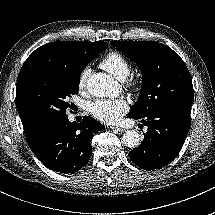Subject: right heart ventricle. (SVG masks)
Here are the masks:
<instances>
[{
  "mask_svg": "<svg viewBox=\"0 0 215 215\" xmlns=\"http://www.w3.org/2000/svg\"><path fill=\"white\" fill-rule=\"evenodd\" d=\"M100 65L119 80L125 79L130 72L128 60L122 54L115 51L106 54Z\"/></svg>",
  "mask_w": 215,
  "mask_h": 215,
  "instance_id": "right-heart-ventricle-1",
  "label": "right heart ventricle"
}]
</instances>
